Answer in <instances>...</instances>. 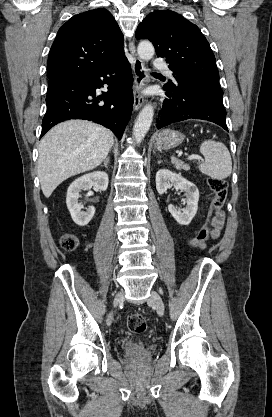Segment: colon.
<instances>
[{"label": "colon", "instance_id": "obj_1", "mask_svg": "<svg viewBox=\"0 0 272 417\" xmlns=\"http://www.w3.org/2000/svg\"><path fill=\"white\" fill-rule=\"evenodd\" d=\"M209 187L214 197L211 202V212L208 221L201 227L196 235L189 240L190 246H198L209 238L212 231L211 217L224 205L227 196V181L221 178H212L209 180ZM79 240L72 234H64L61 237V246L66 251H73L77 248ZM128 328L133 333H142L147 328V320L142 314H133L128 318Z\"/></svg>", "mask_w": 272, "mask_h": 417}]
</instances>
